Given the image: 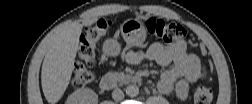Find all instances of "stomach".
<instances>
[{
	"label": "stomach",
	"mask_w": 252,
	"mask_h": 104,
	"mask_svg": "<svg viewBox=\"0 0 252 104\" xmlns=\"http://www.w3.org/2000/svg\"><path fill=\"white\" fill-rule=\"evenodd\" d=\"M120 32L130 46H141L146 39V29L143 22L138 18L126 19L120 25ZM105 51L111 56H117L120 52V45L115 40H109L105 44Z\"/></svg>",
	"instance_id": "obj_1"
}]
</instances>
